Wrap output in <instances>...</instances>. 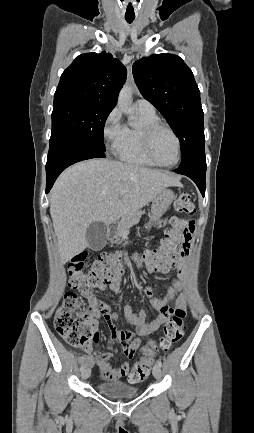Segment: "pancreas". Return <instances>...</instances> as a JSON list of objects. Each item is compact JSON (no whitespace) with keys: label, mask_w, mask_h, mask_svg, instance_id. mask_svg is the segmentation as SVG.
<instances>
[{"label":"pancreas","mask_w":254,"mask_h":433,"mask_svg":"<svg viewBox=\"0 0 254 433\" xmlns=\"http://www.w3.org/2000/svg\"><path fill=\"white\" fill-rule=\"evenodd\" d=\"M142 213H143L142 211L137 210L135 212H132L124 216L118 223L116 239L121 237L124 234V232L129 230L133 225L137 224L140 221Z\"/></svg>","instance_id":"obj_1"}]
</instances>
